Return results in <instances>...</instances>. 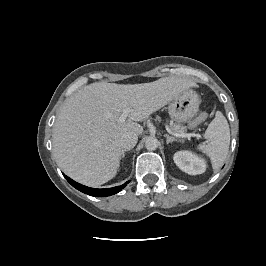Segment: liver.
<instances>
[{"mask_svg": "<svg viewBox=\"0 0 266 266\" xmlns=\"http://www.w3.org/2000/svg\"><path fill=\"white\" fill-rule=\"evenodd\" d=\"M192 80L160 78L142 84L92 83L64 103L53 128V154L73 180L97 187L117 173L126 133L141 135L138 123L190 87ZM129 108V121H118Z\"/></svg>", "mask_w": 266, "mask_h": 266, "instance_id": "obj_1", "label": "liver"}]
</instances>
